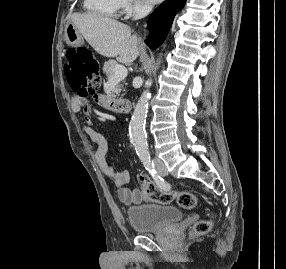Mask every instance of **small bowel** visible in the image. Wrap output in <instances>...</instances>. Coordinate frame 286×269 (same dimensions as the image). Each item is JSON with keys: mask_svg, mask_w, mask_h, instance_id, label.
I'll list each match as a JSON object with an SVG mask.
<instances>
[{"mask_svg": "<svg viewBox=\"0 0 286 269\" xmlns=\"http://www.w3.org/2000/svg\"><path fill=\"white\" fill-rule=\"evenodd\" d=\"M103 93L107 92L106 88L102 89ZM114 99V94H93V99ZM98 106H108V101H98ZM71 108L75 112H82L84 116V132L90 140L96 144L94 153L95 161L101 172L108 178L112 179L116 187L118 198L124 203H138L141 201L140 194L136 189L127 188L129 183L130 174L127 170H119L108 163L107 152L108 144L105 137L95 130L92 126L93 123V110L87 104L86 97L83 94L74 96L71 102ZM112 120L116 119L113 111L109 112ZM167 189V186L161 187Z\"/></svg>", "mask_w": 286, "mask_h": 269, "instance_id": "obj_1", "label": "small bowel"}]
</instances>
